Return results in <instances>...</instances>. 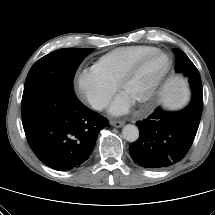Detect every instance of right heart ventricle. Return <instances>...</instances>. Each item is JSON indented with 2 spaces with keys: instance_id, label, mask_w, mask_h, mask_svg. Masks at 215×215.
Instances as JSON below:
<instances>
[{
  "instance_id": "obj_1",
  "label": "right heart ventricle",
  "mask_w": 215,
  "mask_h": 215,
  "mask_svg": "<svg viewBox=\"0 0 215 215\" xmlns=\"http://www.w3.org/2000/svg\"><path fill=\"white\" fill-rule=\"evenodd\" d=\"M154 49L156 48L147 45L119 47L101 56L94 68L117 85L133 62Z\"/></svg>"
}]
</instances>
